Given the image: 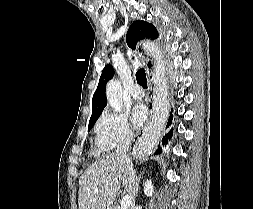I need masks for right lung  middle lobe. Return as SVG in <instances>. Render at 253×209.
Masks as SVG:
<instances>
[{"label": "right lung middle lobe", "instance_id": "obj_1", "mask_svg": "<svg viewBox=\"0 0 253 209\" xmlns=\"http://www.w3.org/2000/svg\"><path fill=\"white\" fill-rule=\"evenodd\" d=\"M96 121H97V118L96 119H91L89 121L88 131L91 130V128L93 127V125L95 124Z\"/></svg>", "mask_w": 253, "mask_h": 209}]
</instances>
